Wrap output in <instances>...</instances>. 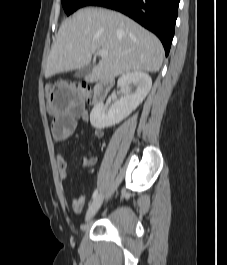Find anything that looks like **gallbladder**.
I'll use <instances>...</instances> for the list:
<instances>
[{"instance_id":"gallbladder-1","label":"gallbladder","mask_w":227,"mask_h":265,"mask_svg":"<svg viewBox=\"0 0 227 265\" xmlns=\"http://www.w3.org/2000/svg\"><path fill=\"white\" fill-rule=\"evenodd\" d=\"M91 71V66L90 65H86L83 68L78 69V71L75 73V77L76 78H81L84 77L86 75H88Z\"/></svg>"}]
</instances>
